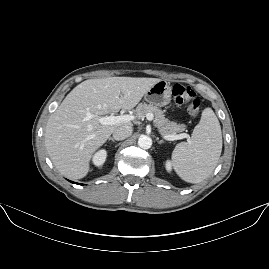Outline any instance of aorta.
Returning a JSON list of instances; mask_svg holds the SVG:
<instances>
[{
  "label": "aorta",
  "mask_w": 269,
  "mask_h": 269,
  "mask_svg": "<svg viewBox=\"0 0 269 269\" xmlns=\"http://www.w3.org/2000/svg\"><path fill=\"white\" fill-rule=\"evenodd\" d=\"M138 145L143 149H149L152 145V139L146 135H142L138 139Z\"/></svg>",
  "instance_id": "1"
}]
</instances>
